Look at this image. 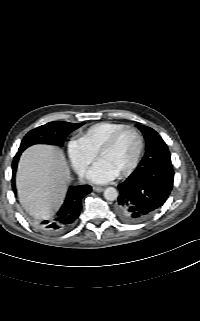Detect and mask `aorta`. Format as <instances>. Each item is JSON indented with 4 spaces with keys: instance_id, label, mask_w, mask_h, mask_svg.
<instances>
[{
    "instance_id": "1",
    "label": "aorta",
    "mask_w": 200,
    "mask_h": 321,
    "mask_svg": "<svg viewBox=\"0 0 200 321\" xmlns=\"http://www.w3.org/2000/svg\"><path fill=\"white\" fill-rule=\"evenodd\" d=\"M104 197L108 201H114L118 197V192L114 187H108L104 190Z\"/></svg>"
}]
</instances>
